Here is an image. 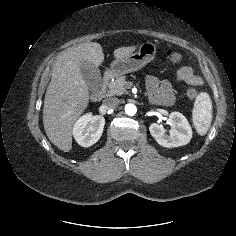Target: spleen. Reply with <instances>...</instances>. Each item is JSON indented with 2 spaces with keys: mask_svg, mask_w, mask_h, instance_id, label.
Segmentation results:
<instances>
[{
  "mask_svg": "<svg viewBox=\"0 0 236 236\" xmlns=\"http://www.w3.org/2000/svg\"><path fill=\"white\" fill-rule=\"evenodd\" d=\"M192 120L198 134L205 135L212 121V101L208 93L201 92L197 95L192 111Z\"/></svg>",
  "mask_w": 236,
  "mask_h": 236,
  "instance_id": "obj_1",
  "label": "spleen"
}]
</instances>
